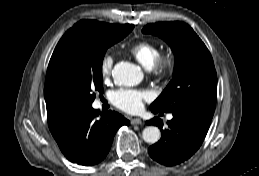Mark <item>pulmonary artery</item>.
Instances as JSON below:
<instances>
[{"label": "pulmonary artery", "instance_id": "1", "mask_svg": "<svg viewBox=\"0 0 259 176\" xmlns=\"http://www.w3.org/2000/svg\"><path fill=\"white\" fill-rule=\"evenodd\" d=\"M173 118V115L172 114H168L167 115V119L171 120Z\"/></svg>", "mask_w": 259, "mask_h": 176}]
</instances>
